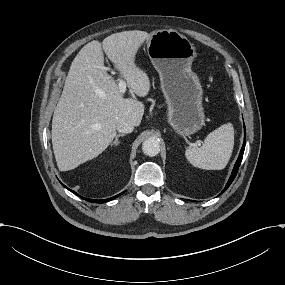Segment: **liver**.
I'll return each mask as SVG.
<instances>
[{
	"label": "liver",
	"mask_w": 285,
	"mask_h": 285,
	"mask_svg": "<svg viewBox=\"0 0 285 285\" xmlns=\"http://www.w3.org/2000/svg\"><path fill=\"white\" fill-rule=\"evenodd\" d=\"M150 36L140 30L111 34L102 44L96 40L87 43L76 55L52 120V145L60 171L72 170L101 154L114 139L120 121L140 125L144 104L123 97L106 71L102 50L130 92L145 97L150 80L136 66L135 57Z\"/></svg>",
	"instance_id": "6515ba94"
}]
</instances>
